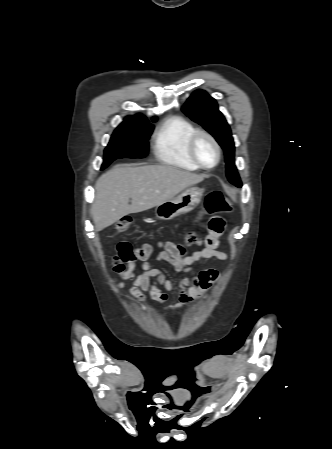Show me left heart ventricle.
<instances>
[{"label":"left heart ventricle","mask_w":332,"mask_h":449,"mask_svg":"<svg viewBox=\"0 0 332 449\" xmlns=\"http://www.w3.org/2000/svg\"><path fill=\"white\" fill-rule=\"evenodd\" d=\"M196 153L201 160V162L205 165H212L216 160V151L212 143L202 137L198 140L196 144Z\"/></svg>","instance_id":"left-heart-ventricle-1"}]
</instances>
